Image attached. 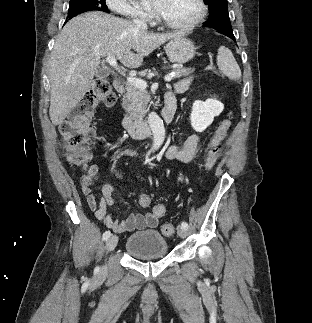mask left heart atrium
Returning <instances> with one entry per match:
<instances>
[{"mask_svg":"<svg viewBox=\"0 0 312 323\" xmlns=\"http://www.w3.org/2000/svg\"><path fill=\"white\" fill-rule=\"evenodd\" d=\"M149 7L150 8H157L158 7V2L157 1H150L149 2Z\"/></svg>","mask_w":312,"mask_h":323,"instance_id":"left-heart-atrium-1","label":"left heart atrium"}]
</instances>
